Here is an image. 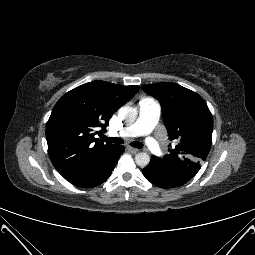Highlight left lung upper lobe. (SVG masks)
Returning <instances> with one entry per match:
<instances>
[{"mask_svg":"<svg viewBox=\"0 0 255 255\" xmlns=\"http://www.w3.org/2000/svg\"><path fill=\"white\" fill-rule=\"evenodd\" d=\"M142 89L161 103L169 138L176 142L167 155L152 156L151 162L174 175L193 178L211 147L213 118L207 104L197 93L175 83L144 85Z\"/></svg>","mask_w":255,"mask_h":255,"instance_id":"1","label":"left lung upper lobe"}]
</instances>
